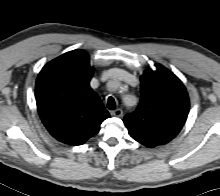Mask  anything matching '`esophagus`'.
I'll return each mask as SVG.
<instances>
[{"label": "esophagus", "mask_w": 220, "mask_h": 196, "mask_svg": "<svg viewBox=\"0 0 220 196\" xmlns=\"http://www.w3.org/2000/svg\"><path fill=\"white\" fill-rule=\"evenodd\" d=\"M111 115L121 118L123 116V111L120 108H118L114 111H111Z\"/></svg>", "instance_id": "1"}]
</instances>
